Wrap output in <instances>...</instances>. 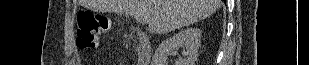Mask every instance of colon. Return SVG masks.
Masks as SVG:
<instances>
[{
    "mask_svg": "<svg viewBox=\"0 0 309 65\" xmlns=\"http://www.w3.org/2000/svg\"><path fill=\"white\" fill-rule=\"evenodd\" d=\"M76 42L81 49H93L100 43L101 34L112 27L108 16L94 14L89 11H80L77 14Z\"/></svg>",
    "mask_w": 309,
    "mask_h": 65,
    "instance_id": "colon-1",
    "label": "colon"
}]
</instances>
